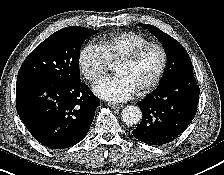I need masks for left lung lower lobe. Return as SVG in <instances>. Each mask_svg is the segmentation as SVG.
I'll return each mask as SVG.
<instances>
[{
    "label": "left lung lower lobe",
    "instance_id": "obj_1",
    "mask_svg": "<svg viewBox=\"0 0 224 175\" xmlns=\"http://www.w3.org/2000/svg\"><path fill=\"white\" fill-rule=\"evenodd\" d=\"M198 100L199 86L193 73H180L162 81L138 103L143 117L132 131L134 137L154 146L173 141L195 117Z\"/></svg>",
    "mask_w": 224,
    "mask_h": 175
}]
</instances>
